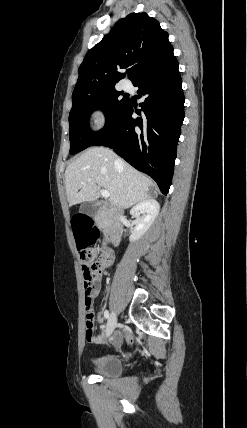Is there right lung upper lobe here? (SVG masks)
<instances>
[{
  "instance_id": "1",
  "label": "right lung upper lobe",
  "mask_w": 247,
  "mask_h": 428,
  "mask_svg": "<svg viewBox=\"0 0 247 428\" xmlns=\"http://www.w3.org/2000/svg\"><path fill=\"white\" fill-rule=\"evenodd\" d=\"M173 56L168 33L146 13H132L120 19L101 42L86 54L72 100L111 88L125 77L118 72L129 67L134 84L146 73L160 67Z\"/></svg>"
}]
</instances>
